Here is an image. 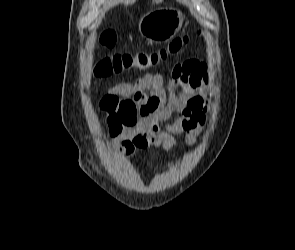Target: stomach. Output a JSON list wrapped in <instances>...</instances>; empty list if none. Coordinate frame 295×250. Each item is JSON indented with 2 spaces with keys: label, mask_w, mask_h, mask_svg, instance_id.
<instances>
[{
  "label": "stomach",
  "mask_w": 295,
  "mask_h": 250,
  "mask_svg": "<svg viewBox=\"0 0 295 250\" xmlns=\"http://www.w3.org/2000/svg\"><path fill=\"white\" fill-rule=\"evenodd\" d=\"M183 20L180 10L163 7L144 15L139 23V31L155 41L168 40L178 33Z\"/></svg>",
  "instance_id": "0dacf381"
}]
</instances>
